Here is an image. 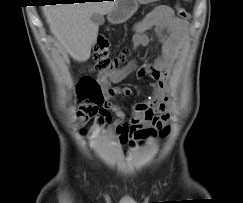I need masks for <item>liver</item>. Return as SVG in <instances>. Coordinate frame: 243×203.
I'll use <instances>...</instances> for the list:
<instances>
[{"mask_svg":"<svg viewBox=\"0 0 243 203\" xmlns=\"http://www.w3.org/2000/svg\"><path fill=\"white\" fill-rule=\"evenodd\" d=\"M114 6V1H103L45 5L42 10L59 44L75 61L85 62L90 58L99 29L91 16L108 14Z\"/></svg>","mask_w":243,"mask_h":203,"instance_id":"1","label":"liver"}]
</instances>
